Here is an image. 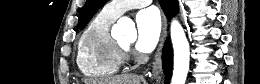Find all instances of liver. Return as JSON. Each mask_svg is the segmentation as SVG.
<instances>
[{"label": "liver", "instance_id": "liver-1", "mask_svg": "<svg viewBox=\"0 0 260 84\" xmlns=\"http://www.w3.org/2000/svg\"><path fill=\"white\" fill-rule=\"evenodd\" d=\"M86 83L87 84H140V77L133 74L120 75V76L100 79L98 81H86Z\"/></svg>", "mask_w": 260, "mask_h": 84}]
</instances>
